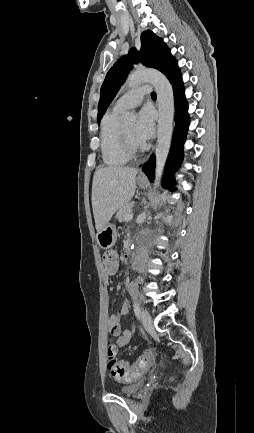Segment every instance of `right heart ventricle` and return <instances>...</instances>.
Segmentation results:
<instances>
[{
    "mask_svg": "<svg viewBox=\"0 0 254 433\" xmlns=\"http://www.w3.org/2000/svg\"><path fill=\"white\" fill-rule=\"evenodd\" d=\"M120 111L111 110L102 118L100 130V150L104 164L112 167L126 164L130 157L124 152L118 116Z\"/></svg>",
    "mask_w": 254,
    "mask_h": 433,
    "instance_id": "right-heart-ventricle-1",
    "label": "right heart ventricle"
}]
</instances>
